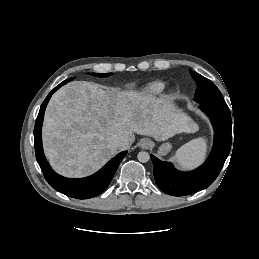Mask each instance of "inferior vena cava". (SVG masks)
Wrapping results in <instances>:
<instances>
[{
	"label": "inferior vena cava",
	"instance_id": "602c4592",
	"mask_svg": "<svg viewBox=\"0 0 259 259\" xmlns=\"http://www.w3.org/2000/svg\"><path fill=\"white\" fill-rule=\"evenodd\" d=\"M112 144L114 146H116L117 148H123L126 146V142H125L124 138H122L120 136H115L114 138H112Z\"/></svg>",
	"mask_w": 259,
	"mask_h": 259
}]
</instances>
